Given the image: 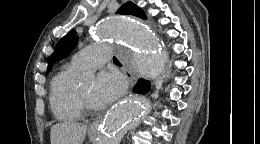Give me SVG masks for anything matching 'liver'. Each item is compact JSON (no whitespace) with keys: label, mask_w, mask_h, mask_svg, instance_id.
I'll list each match as a JSON object with an SVG mask.
<instances>
[{"label":"liver","mask_w":260,"mask_h":144,"mask_svg":"<svg viewBox=\"0 0 260 144\" xmlns=\"http://www.w3.org/2000/svg\"><path fill=\"white\" fill-rule=\"evenodd\" d=\"M87 125L66 121L52 126L50 132L51 144H83Z\"/></svg>","instance_id":"6515ba94"}]
</instances>
